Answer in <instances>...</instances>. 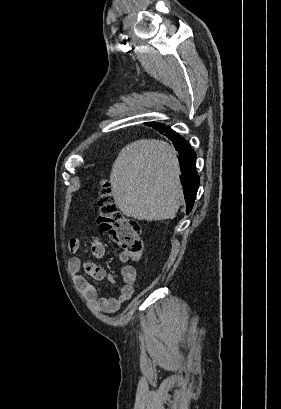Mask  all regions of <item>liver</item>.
Here are the masks:
<instances>
[{"mask_svg": "<svg viewBox=\"0 0 281 409\" xmlns=\"http://www.w3.org/2000/svg\"><path fill=\"white\" fill-rule=\"evenodd\" d=\"M173 146L141 138L120 150L110 176L112 194L123 215L138 221L175 219L183 190Z\"/></svg>", "mask_w": 281, "mask_h": 409, "instance_id": "1", "label": "liver"}]
</instances>
